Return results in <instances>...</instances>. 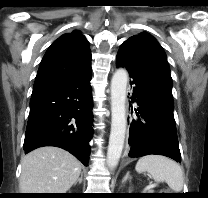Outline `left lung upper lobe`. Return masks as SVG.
<instances>
[{"instance_id":"5c2ea615","label":"left lung upper lobe","mask_w":208,"mask_h":198,"mask_svg":"<svg viewBox=\"0 0 208 198\" xmlns=\"http://www.w3.org/2000/svg\"><path fill=\"white\" fill-rule=\"evenodd\" d=\"M123 44L134 48L157 83L172 95L170 69L159 43L149 34L141 33L130 37Z\"/></svg>"}]
</instances>
